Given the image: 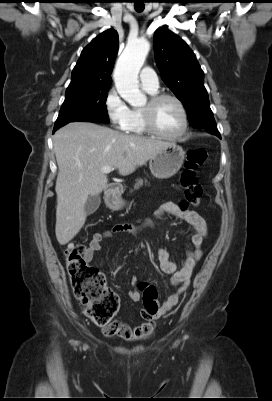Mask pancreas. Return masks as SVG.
I'll use <instances>...</instances> for the list:
<instances>
[{
  "instance_id": "1",
  "label": "pancreas",
  "mask_w": 272,
  "mask_h": 401,
  "mask_svg": "<svg viewBox=\"0 0 272 401\" xmlns=\"http://www.w3.org/2000/svg\"><path fill=\"white\" fill-rule=\"evenodd\" d=\"M146 183V181H145ZM141 186H143V180L142 179H138L134 185V189L138 190Z\"/></svg>"
}]
</instances>
